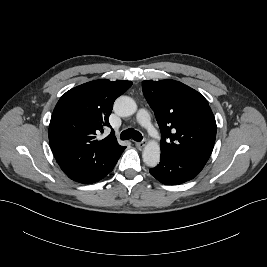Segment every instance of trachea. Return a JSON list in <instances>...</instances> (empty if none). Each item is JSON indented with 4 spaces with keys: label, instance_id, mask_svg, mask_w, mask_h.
<instances>
[{
    "label": "trachea",
    "instance_id": "1",
    "mask_svg": "<svg viewBox=\"0 0 267 267\" xmlns=\"http://www.w3.org/2000/svg\"><path fill=\"white\" fill-rule=\"evenodd\" d=\"M121 140H128V139H133L137 142H140L143 137L142 134L139 131H136L134 129H127L124 130L121 135H120Z\"/></svg>",
    "mask_w": 267,
    "mask_h": 267
}]
</instances>
